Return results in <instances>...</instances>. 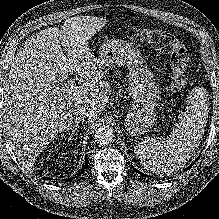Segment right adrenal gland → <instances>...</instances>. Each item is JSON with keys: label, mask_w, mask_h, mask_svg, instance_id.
I'll return each mask as SVG.
<instances>
[{"label": "right adrenal gland", "mask_w": 219, "mask_h": 219, "mask_svg": "<svg viewBox=\"0 0 219 219\" xmlns=\"http://www.w3.org/2000/svg\"><path fill=\"white\" fill-rule=\"evenodd\" d=\"M80 122H81V120L76 119V120H75V123H73L70 127H68V128L66 129L65 132L70 135V138L68 139V141L71 139V137L74 136V134H75L77 128L79 127V123H80ZM70 130H71V131H70Z\"/></svg>", "instance_id": "obj_1"}]
</instances>
